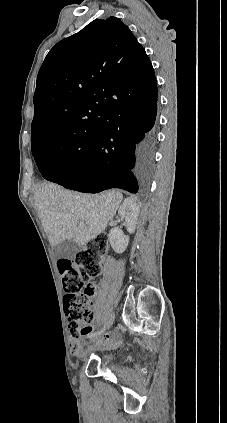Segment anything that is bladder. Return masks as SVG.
<instances>
[{"mask_svg": "<svg viewBox=\"0 0 227 423\" xmlns=\"http://www.w3.org/2000/svg\"><path fill=\"white\" fill-rule=\"evenodd\" d=\"M115 361V354L113 352L103 353L98 359V364L100 366L112 365Z\"/></svg>", "mask_w": 227, "mask_h": 423, "instance_id": "31cf9c89", "label": "bladder"}]
</instances>
